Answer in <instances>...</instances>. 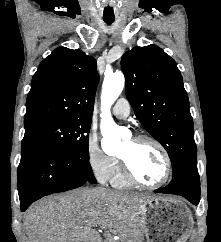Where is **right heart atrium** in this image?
Listing matches in <instances>:
<instances>
[{
    "label": "right heart atrium",
    "mask_w": 221,
    "mask_h": 242,
    "mask_svg": "<svg viewBox=\"0 0 221 242\" xmlns=\"http://www.w3.org/2000/svg\"><path fill=\"white\" fill-rule=\"evenodd\" d=\"M86 159L90 170L98 180L106 182L111 179L117 159L102 150L94 132H91L87 137Z\"/></svg>",
    "instance_id": "right-heart-atrium-1"
}]
</instances>
